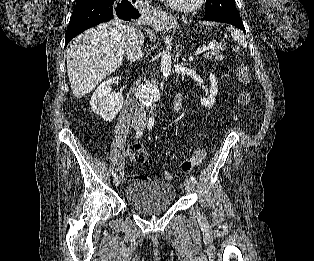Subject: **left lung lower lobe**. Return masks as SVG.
<instances>
[{
	"instance_id": "1",
	"label": "left lung lower lobe",
	"mask_w": 314,
	"mask_h": 261,
	"mask_svg": "<svg viewBox=\"0 0 314 261\" xmlns=\"http://www.w3.org/2000/svg\"><path fill=\"white\" fill-rule=\"evenodd\" d=\"M203 19L208 20V21L228 23V24L236 26L237 28L243 30L246 33L242 20L239 18L227 19V18H211V17L205 16Z\"/></svg>"
}]
</instances>
